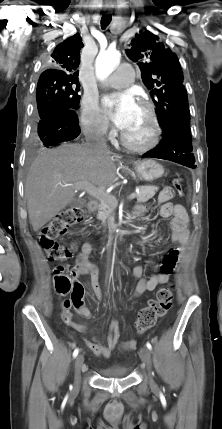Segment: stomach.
Wrapping results in <instances>:
<instances>
[{
	"label": "stomach",
	"instance_id": "0dacf381",
	"mask_svg": "<svg viewBox=\"0 0 222 429\" xmlns=\"http://www.w3.org/2000/svg\"><path fill=\"white\" fill-rule=\"evenodd\" d=\"M137 177L140 180L151 182L163 176L164 168L161 164L154 160H144L141 162H134Z\"/></svg>",
	"mask_w": 222,
	"mask_h": 429
}]
</instances>
